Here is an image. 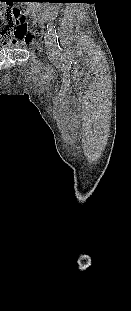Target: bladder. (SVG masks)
<instances>
[{"instance_id":"31cf9c89","label":"bladder","mask_w":131,"mask_h":311,"mask_svg":"<svg viewBox=\"0 0 131 311\" xmlns=\"http://www.w3.org/2000/svg\"><path fill=\"white\" fill-rule=\"evenodd\" d=\"M8 48H17V45L12 44V45H9ZM0 49H2V48L0 47Z\"/></svg>"}]
</instances>
